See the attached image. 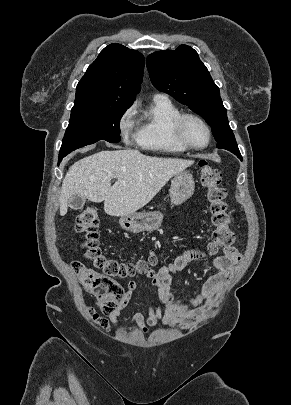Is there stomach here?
<instances>
[{"label":"stomach","instance_id":"stomach-1","mask_svg":"<svg viewBox=\"0 0 291 405\" xmlns=\"http://www.w3.org/2000/svg\"><path fill=\"white\" fill-rule=\"evenodd\" d=\"M195 184L190 173L182 171L177 173L170 187L171 203L180 205L188 200L194 193ZM163 221V214L154 212H134L120 217L121 227L130 232L154 231Z\"/></svg>","mask_w":291,"mask_h":405}]
</instances>
